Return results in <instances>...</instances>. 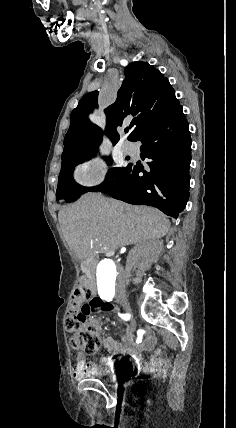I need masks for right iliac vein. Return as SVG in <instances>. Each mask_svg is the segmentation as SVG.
<instances>
[{
	"mask_svg": "<svg viewBox=\"0 0 236 428\" xmlns=\"http://www.w3.org/2000/svg\"><path fill=\"white\" fill-rule=\"evenodd\" d=\"M116 299L119 301V305H124V308L127 312L130 313V315L133 317L135 314L130 310L129 307V302H128V298L126 296V294H117ZM128 332L132 333L133 332V326L129 325L128 326Z\"/></svg>",
	"mask_w": 236,
	"mask_h": 428,
	"instance_id": "right-iliac-vein-1",
	"label": "right iliac vein"
}]
</instances>
